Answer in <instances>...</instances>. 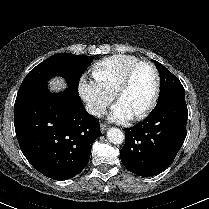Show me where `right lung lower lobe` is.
I'll return each mask as SVG.
<instances>
[{"label":"right lung lower lobe","instance_id":"1","mask_svg":"<svg viewBox=\"0 0 209 209\" xmlns=\"http://www.w3.org/2000/svg\"><path fill=\"white\" fill-rule=\"evenodd\" d=\"M14 126L20 148L31 165L54 180L78 174L91 146L101 136L99 121L88 114L77 90L50 93L45 84L17 95Z\"/></svg>","mask_w":209,"mask_h":209}]
</instances>
